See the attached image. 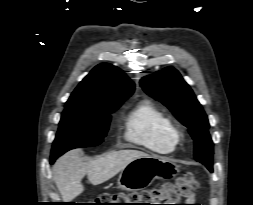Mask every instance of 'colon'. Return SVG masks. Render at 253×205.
I'll use <instances>...</instances> for the list:
<instances>
[{
	"mask_svg": "<svg viewBox=\"0 0 253 205\" xmlns=\"http://www.w3.org/2000/svg\"><path fill=\"white\" fill-rule=\"evenodd\" d=\"M200 182L194 172H188L173 182L138 193L102 194L98 205H180L182 199L193 197Z\"/></svg>",
	"mask_w": 253,
	"mask_h": 205,
	"instance_id": "5ec220e1",
	"label": "colon"
}]
</instances>
